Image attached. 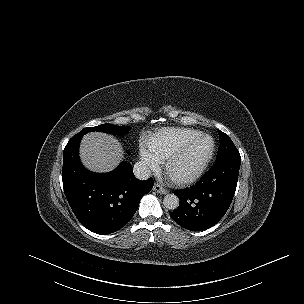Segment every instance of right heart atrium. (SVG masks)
Here are the masks:
<instances>
[{"instance_id": "right-heart-atrium-1", "label": "right heart atrium", "mask_w": 304, "mask_h": 304, "mask_svg": "<svg viewBox=\"0 0 304 304\" xmlns=\"http://www.w3.org/2000/svg\"><path fill=\"white\" fill-rule=\"evenodd\" d=\"M139 156L143 166L148 170H156L161 164V157L145 143L139 147Z\"/></svg>"}]
</instances>
